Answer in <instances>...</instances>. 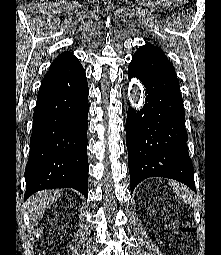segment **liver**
<instances>
[{
	"instance_id": "1",
	"label": "liver",
	"mask_w": 221,
	"mask_h": 255,
	"mask_svg": "<svg viewBox=\"0 0 221 255\" xmlns=\"http://www.w3.org/2000/svg\"><path fill=\"white\" fill-rule=\"evenodd\" d=\"M61 195L60 190L50 192H38L28 199V213L31 220L37 221L41 218L45 210Z\"/></svg>"
}]
</instances>
